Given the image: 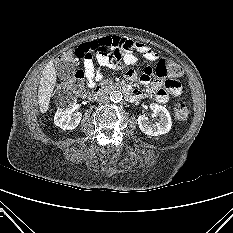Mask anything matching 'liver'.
Instances as JSON below:
<instances>
[{
  "instance_id": "6515ba94",
  "label": "liver",
  "mask_w": 233,
  "mask_h": 233,
  "mask_svg": "<svg viewBox=\"0 0 233 233\" xmlns=\"http://www.w3.org/2000/svg\"><path fill=\"white\" fill-rule=\"evenodd\" d=\"M56 71L54 63L49 62L43 70L38 89V103L41 113H46L49 109L50 98L56 83Z\"/></svg>"
}]
</instances>
